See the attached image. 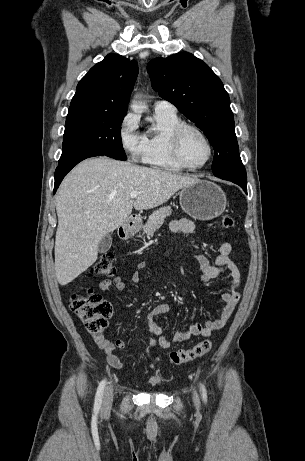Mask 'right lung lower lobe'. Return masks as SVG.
Instances as JSON below:
<instances>
[{"instance_id": "right-lung-lower-lobe-1", "label": "right lung lower lobe", "mask_w": 305, "mask_h": 461, "mask_svg": "<svg viewBox=\"0 0 305 461\" xmlns=\"http://www.w3.org/2000/svg\"><path fill=\"white\" fill-rule=\"evenodd\" d=\"M94 156H98V155H89V156H85V157H78V158H75L71 161H68V162H65V163H58V167L56 168V171H55V185H54V194L58 188V186L60 185L61 181L63 180V178L65 177V175L75 166L77 165L80 161L86 159V158H89V157H94ZM100 156V155H99Z\"/></svg>"}]
</instances>
